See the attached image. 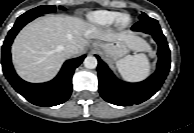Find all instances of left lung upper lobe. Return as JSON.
<instances>
[{"label":"left lung upper lobe","instance_id":"1","mask_svg":"<svg viewBox=\"0 0 194 133\" xmlns=\"http://www.w3.org/2000/svg\"><path fill=\"white\" fill-rule=\"evenodd\" d=\"M148 16L145 14V13H142L140 16H139V19H144V18H147Z\"/></svg>","mask_w":194,"mask_h":133}]
</instances>
